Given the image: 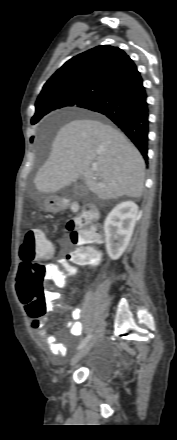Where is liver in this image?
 <instances>
[{"mask_svg": "<svg viewBox=\"0 0 177 440\" xmlns=\"http://www.w3.org/2000/svg\"><path fill=\"white\" fill-rule=\"evenodd\" d=\"M96 167V170L93 168ZM144 160L120 131L94 119H76L57 133L49 158L35 176L41 193H55L83 177L102 200L142 195Z\"/></svg>", "mask_w": 177, "mask_h": 440, "instance_id": "liver-1", "label": "liver"}]
</instances>
